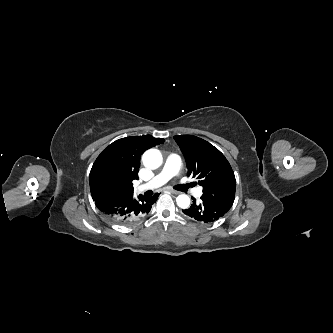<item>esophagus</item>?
<instances>
[{
  "label": "esophagus",
  "instance_id": "1",
  "mask_svg": "<svg viewBox=\"0 0 333 333\" xmlns=\"http://www.w3.org/2000/svg\"><path fill=\"white\" fill-rule=\"evenodd\" d=\"M170 193H172V194H175V195H178L180 192H178V191H176V190H174V189H169L168 190Z\"/></svg>",
  "mask_w": 333,
  "mask_h": 333
}]
</instances>
